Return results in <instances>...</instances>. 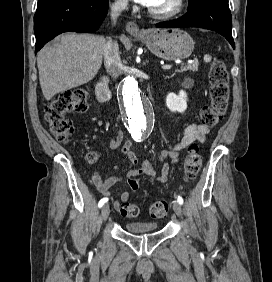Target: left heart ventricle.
Returning <instances> with one entry per match:
<instances>
[{
  "label": "left heart ventricle",
  "instance_id": "left-heart-ventricle-1",
  "mask_svg": "<svg viewBox=\"0 0 272 282\" xmlns=\"http://www.w3.org/2000/svg\"><path fill=\"white\" fill-rule=\"evenodd\" d=\"M178 0H152L149 8L159 12H169L177 7Z\"/></svg>",
  "mask_w": 272,
  "mask_h": 282
}]
</instances>
